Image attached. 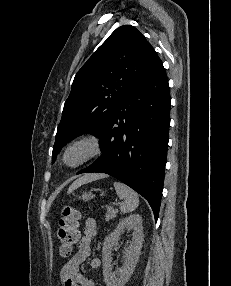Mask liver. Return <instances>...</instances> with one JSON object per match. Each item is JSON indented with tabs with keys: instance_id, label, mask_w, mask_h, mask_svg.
Masks as SVG:
<instances>
[{
	"instance_id": "obj_1",
	"label": "liver",
	"mask_w": 231,
	"mask_h": 286,
	"mask_svg": "<svg viewBox=\"0 0 231 286\" xmlns=\"http://www.w3.org/2000/svg\"><path fill=\"white\" fill-rule=\"evenodd\" d=\"M105 177L106 176L104 174H86L73 182V184L68 189V193L73 192L75 189H77L83 184H86V183H89V182H92L98 179H102Z\"/></svg>"
}]
</instances>
